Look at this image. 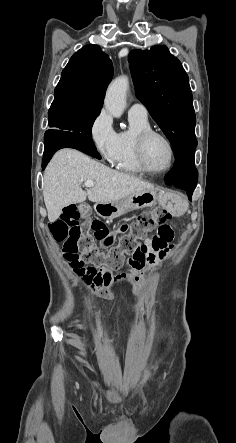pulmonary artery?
<instances>
[{"label": "pulmonary artery", "instance_id": "e3ab8cb5", "mask_svg": "<svg viewBox=\"0 0 236 443\" xmlns=\"http://www.w3.org/2000/svg\"><path fill=\"white\" fill-rule=\"evenodd\" d=\"M129 116L148 118V110L144 104L140 102H135L131 105L129 109Z\"/></svg>", "mask_w": 236, "mask_h": 443}]
</instances>
